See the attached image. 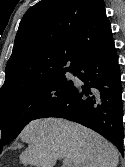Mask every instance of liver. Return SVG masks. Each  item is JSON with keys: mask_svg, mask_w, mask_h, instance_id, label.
I'll use <instances>...</instances> for the list:
<instances>
[{"mask_svg": "<svg viewBox=\"0 0 125 167\" xmlns=\"http://www.w3.org/2000/svg\"><path fill=\"white\" fill-rule=\"evenodd\" d=\"M28 147L21 153L24 165L53 167L68 158L73 167H117L118 150L93 130L60 119L31 121L20 133Z\"/></svg>", "mask_w": 125, "mask_h": 167, "instance_id": "liver-1", "label": "liver"}]
</instances>
